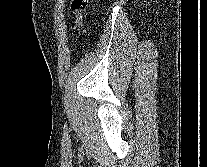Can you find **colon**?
Returning <instances> with one entry per match:
<instances>
[{
    "mask_svg": "<svg viewBox=\"0 0 207 167\" xmlns=\"http://www.w3.org/2000/svg\"><path fill=\"white\" fill-rule=\"evenodd\" d=\"M89 0H70L68 9L74 17L72 29L79 31L83 26L84 11L88 5Z\"/></svg>",
    "mask_w": 207,
    "mask_h": 167,
    "instance_id": "1",
    "label": "colon"
}]
</instances>
